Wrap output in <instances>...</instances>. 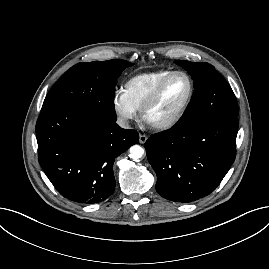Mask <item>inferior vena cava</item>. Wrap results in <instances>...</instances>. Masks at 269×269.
<instances>
[{"mask_svg": "<svg viewBox=\"0 0 269 269\" xmlns=\"http://www.w3.org/2000/svg\"><path fill=\"white\" fill-rule=\"evenodd\" d=\"M117 124L122 128H129L130 127L129 121L125 118H118Z\"/></svg>", "mask_w": 269, "mask_h": 269, "instance_id": "obj_1", "label": "inferior vena cava"}]
</instances>
